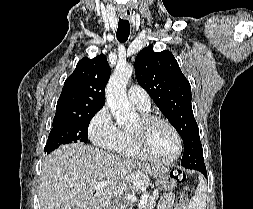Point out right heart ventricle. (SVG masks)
<instances>
[{
	"instance_id": "obj_1",
	"label": "right heart ventricle",
	"mask_w": 253,
	"mask_h": 209,
	"mask_svg": "<svg viewBox=\"0 0 253 209\" xmlns=\"http://www.w3.org/2000/svg\"><path fill=\"white\" fill-rule=\"evenodd\" d=\"M137 108L142 112V114H148L149 112V108H142L139 106H137ZM117 150L126 157L141 158L138 151L136 150L131 130L123 131V141Z\"/></svg>"
}]
</instances>
